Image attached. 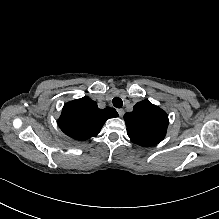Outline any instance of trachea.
Wrapping results in <instances>:
<instances>
[{
	"label": "trachea",
	"mask_w": 219,
	"mask_h": 219,
	"mask_svg": "<svg viewBox=\"0 0 219 219\" xmlns=\"http://www.w3.org/2000/svg\"><path fill=\"white\" fill-rule=\"evenodd\" d=\"M112 103L114 105V107L116 108H121L123 106V101L121 98L119 97H115L113 100H112Z\"/></svg>",
	"instance_id": "trachea-1"
}]
</instances>
